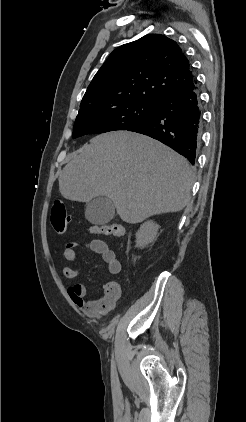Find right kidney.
<instances>
[{"mask_svg":"<svg viewBox=\"0 0 246 422\" xmlns=\"http://www.w3.org/2000/svg\"><path fill=\"white\" fill-rule=\"evenodd\" d=\"M160 226L153 221H147L141 225L136 233V243L139 246H146L157 239Z\"/></svg>","mask_w":246,"mask_h":422,"instance_id":"obj_1","label":"right kidney"}]
</instances>
